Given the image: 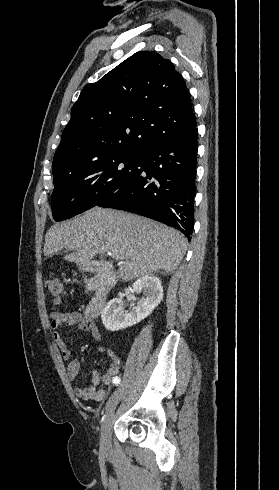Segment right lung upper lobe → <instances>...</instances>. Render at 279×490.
<instances>
[{"mask_svg":"<svg viewBox=\"0 0 279 490\" xmlns=\"http://www.w3.org/2000/svg\"><path fill=\"white\" fill-rule=\"evenodd\" d=\"M195 129L181 74L158 53L140 51L81 91L53 159V176L111 152L142 157Z\"/></svg>","mask_w":279,"mask_h":490,"instance_id":"1","label":"right lung upper lobe"}]
</instances>
